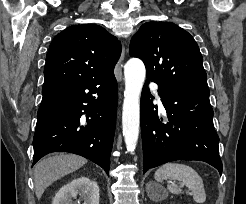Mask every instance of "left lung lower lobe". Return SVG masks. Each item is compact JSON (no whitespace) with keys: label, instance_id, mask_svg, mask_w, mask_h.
<instances>
[{"label":"left lung lower lobe","instance_id":"left-lung-lower-lobe-1","mask_svg":"<svg viewBox=\"0 0 246 204\" xmlns=\"http://www.w3.org/2000/svg\"><path fill=\"white\" fill-rule=\"evenodd\" d=\"M147 80L141 95L140 121L143 143V173L175 160H199L222 174L219 137L213 125L209 89L158 84L166 110L158 113Z\"/></svg>","mask_w":246,"mask_h":204}]
</instances>
